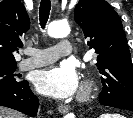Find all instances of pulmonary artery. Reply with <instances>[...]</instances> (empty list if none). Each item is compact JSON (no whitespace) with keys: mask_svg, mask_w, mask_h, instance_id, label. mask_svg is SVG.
Listing matches in <instances>:
<instances>
[{"mask_svg":"<svg viewBox=\"0 0 133 118\" xmlns=\"http://www.w3.org/2000/svg\"><path fill=\"white\" fill-rule=\"evenodd\" d=\"M73 47L69 40H60L56 45L43 49H26L29 58L22 60L18 68L20 70H29L43 65L53 63L61 57L72 53Z\"/></svg>","mask_w":133,"mask_h":118,"instance_id":"e3ab8cb5","label":"pulmonary artery"}]
</instances>
